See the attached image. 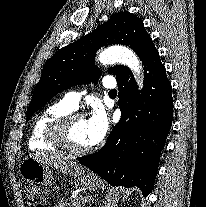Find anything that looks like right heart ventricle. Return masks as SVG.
I'll list each match as a JSON object with an SVG mask.
<instances>
[{
    "label": "right heart ventricle",
    "instance_id": "1",
    "mask_svg": "<svg viewBox=\"0 0 206 207\" xmlns=\"http://www.w3.org/2000/svg\"><path fill=\"white\" fill-rule=\"evenodd\" d=\"M64 100H59L47 105L37 116L28 138V147L32 151L56 152L58 149L52 145L47 137L46 130L48 125L61 115L72 112Z\"/></svg>",
    "mask_w": 206,
    "mask_h": 207
}]
</instances>
